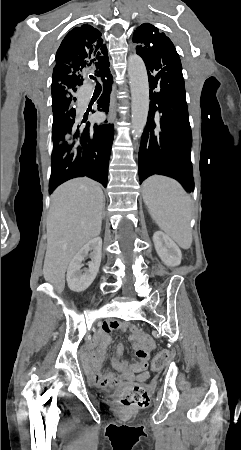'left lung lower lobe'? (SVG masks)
<instances>
[{"instance_id":"left-lung-lower-lobe-1","label":"left lung lower lobe","mask_w":241,"mask_h":450,"mask_svg":"<svg viewBox=\"0 0 241 450\" xmlns=\"http://www.w3.org/2000/svg\"><path fill=\"white\" fill-rule=\"evenodd\" d=\"M142 59L148 72L151 102L139 149L140 183L161 174L176 179L191 192L192 135L180 58L170 41L161 55ZM155 88L158 92H153Z\"/></svg>"}]
</instances>
